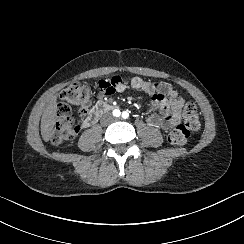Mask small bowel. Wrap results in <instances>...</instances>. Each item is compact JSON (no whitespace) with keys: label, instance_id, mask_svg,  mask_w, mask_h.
I'll return each mask as SVG.
<instances>
[{"label":"small bowel","instance_id":"1","mask_svg":"<svg viewBox=\"0 0 244 244\" xmlns=\"http://www.w3.org/2000/svg\"><path fill=\"white\" fill-rule=\"evenodd\" d=\"M129 86L151 94L149 112L146 117L149 126L168 130L179 122V109L183 100L178 92L165 82H153L134 77L128 83L123 78L114 76L109 80L98 82L96 98L97 100H103L115 93L126 91ZM85 120L88 122L89 117H86Z\"/></svg>","mask_w":244,"mask_h":244}]
</instances>
